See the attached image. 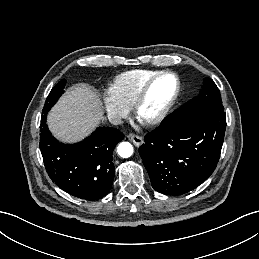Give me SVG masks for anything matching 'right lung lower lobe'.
Listing matches in <instances>:
<instances>
[{
  "label": "right lung lower lobe",
  "mask_w": 259,
  "mask_h": 259,
  "mask_svg": "<svg viewBox=\"0 0 259 259\" xmlns=\"http://www.w3.org/2000/svg\"><path fill=\"white\" fill-rule=\"evenodd\" d=\"M39 147L51 180L70 195L98 200L111 189L115 168L112 154L124 134L111 127L98 128L75 145L59 143L41 122Z\"/></svg>",
  "instance_id": "obj_1"
}]
</instances>
